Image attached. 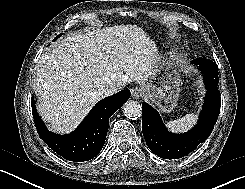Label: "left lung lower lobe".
Wrapping results in <instances>:
<instances>
[{"label":"left lung lower lobe","instance_id":"left-lung-lower-lobe-1","mask_svg":"<svg viewBox=\"0 0 245 189\" xmlns=\"http://www.w3.org/2000/svg\"><path fill=\"white\" fill-rule=\"evenodd\" d=\"M192 63L199 65L205 86L206 97L197 125L184 134L168 132L159 113L148 103H142V132L148 148L164 159H178L203 143L211 134L220 112V91L218 66L205 57L197 58Z\"/></svg>","mask_w":245,"mask_h":189}]
</instances>
